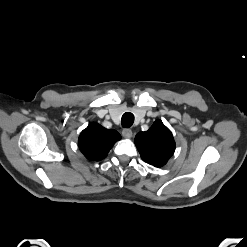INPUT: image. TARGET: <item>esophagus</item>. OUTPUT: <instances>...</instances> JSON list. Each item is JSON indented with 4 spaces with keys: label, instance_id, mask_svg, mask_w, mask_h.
<instances>
[{
    "label": "esophagus",
    "instance_id": "34e87169",
    "mask_svg": "<svg viewBox=\"0 0 247 247\" xmlns=\"http://www.w3.org/2000/svg\"><path fill=\"white\" fill-rule=\"evenodd\" d=\"M122 136L124 137V138H131L132 136H133V132H132V130H130V129H123L122 130Z\"/></svg>",
    "mask_w": 247,
    "mask_h": 247
}]
</instances>
